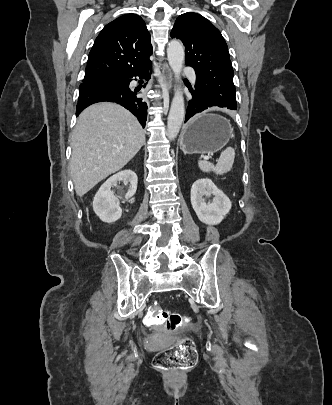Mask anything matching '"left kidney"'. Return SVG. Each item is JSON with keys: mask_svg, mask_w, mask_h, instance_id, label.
<instances>
[{"mask_svg": "<svg viewBox=\"0 0 332 405\" xmlns=\"http://www.w3.org/2000/svg\"><path fill=\"white\" fill-rule=\"evenodd\" d=\"M213 195V201L206 203L203 196ZM191 204L198 219L208 225L219 224L231 209V201L208 178L196 180L191 188Z\"/></svg>", "mask_w": 332, "mask_h": 405, "instance_id": "obj_1", "label": "left kidney"}]
</instances>
